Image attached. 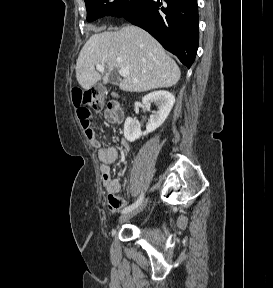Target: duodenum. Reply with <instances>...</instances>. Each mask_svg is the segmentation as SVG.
<instances>
[{"mask_svg":"<svg viewBox=\"0 0 273 288\" xmlns=\"http://www.w3.org/2000/svg\"><path fill=\"white\" fill-rule=\"evenodd\" d=\"M116 100H117V104L115 106V113L117 115H121L123 117V109H122V105H121V101L119 96H116Z\"/></svg>","mask_w":273,"mask_h":288,"instance_id":"410a0bca","label":"duodenum"}]
</instances>
